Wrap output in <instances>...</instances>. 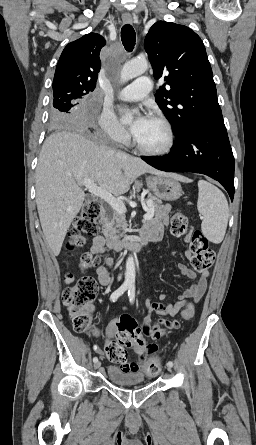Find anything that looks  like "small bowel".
<instances>
[{
	"label": "small bowel",
	"instance_id": "c3829d8e",
	"mask_svg": "<svg viewBox=\"0 0 256 445\" xmlns=\"http://www.w3.org/2000/svg\"><path fill=\"white\" fill-rule=\"evenodd\" d=\"M169 207H161L153 220L143 228L141 235H148L153 241L161 240L164 232L165 225L167 223V213ZM189 240V236L185 238V242ZM106 253L105 239L101 235H96L93 238L92 246L90 248V254L93 256H101ZM186 256L191 257L190 251H186ZM114 265V260L111 257H105L102 264L96 266V274L98 281L102 286H108L111 283V275L109 268ZM177 270L191 279V284L178 298L175 303H165L166 294L159 296V301L148 302L147 307L150 313H155L163 316L175 317L179 311L184 307L188 299L199 301L205 294L207 289L208 272H195L184 264H179ZM117 319L112 320L106 328V344L112 341V338L117 332ZM180 324L176 320L158 319L156 322L151 323L149 317L144 319L142 330L143 334L150 337L152 342L146 344L144 351L141 353H153L158 349V340L161 339L169 330L179 329ZM94 350L101 353L100 347L95 346ZM144 366V358L140 362L133 360H125L119 364L120 369L138 371Z\"/></svg>",
	"mask_w": 256,
	"mask_h": 445
}]
</instances>
